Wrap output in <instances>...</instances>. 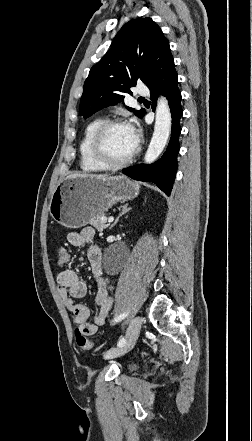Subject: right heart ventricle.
<instances>
[{"instance_id":"1","label":"right heart ventricle","mask_w":252,"mask_h":441,"mask_svg":"<svg viewBox=\"0 0 252 441\" xmlns=\"http://www.w3.org/2000/svg\"><path fill=\"white\" fill-rule=\"evenodd\" d=\"M103 121L102 118L92 119L85 127L80 144H79V156L80 167L85 172L95 173L106 170L102 165L97 163L91 156L89 146L93 132L97 126Z\"/></svg>"}]
</instances>
